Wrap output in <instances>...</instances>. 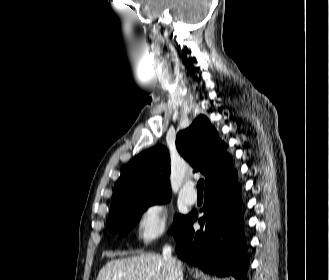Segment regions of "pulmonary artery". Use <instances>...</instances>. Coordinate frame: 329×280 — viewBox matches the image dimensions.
Instances as JSON below:
<instances>
[{"mask_svg": "<svg viewBox=\"0 0 329 280\" xmlns=\"http://www.w3.org/2000/svg\"><path fill=\"white\" fill-rule=\"evenodd\" d=\"M181 196L183 200L190 205L197 201V193L193 188V183H188L182 188Z\"/></svg>", "mask_w": 329, "mask_h": 280, "instance_id": "1", "label": "pulmonary artery"}]
</instances>
